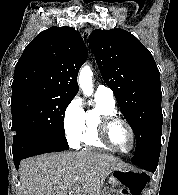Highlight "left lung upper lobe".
I'll return each instance as SVG.
<instances>
[{"mask_svg":"<svg viewBox=\"0 0 178 195\" xmlns=\"http://www.w3.org/2000/svg\"><path fill=\"white\" fill-rule=\"evenodd\" d=\"M101 75L116 97L136 138L135 153L161 146L163 115L160 74L152 54L123 29L89 36Z\"/></svg>","mask_w":178,"mask_h":195,"instance_id":"left-lung-upper-lobe-1","label":"left lung upper lobe"}]
</instances>
